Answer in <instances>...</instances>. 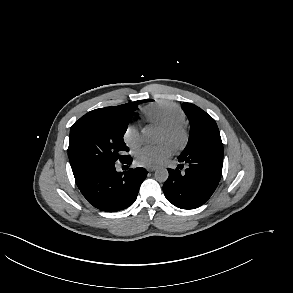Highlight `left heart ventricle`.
<instances>
[{
  "mask_svg": "<svg viewBox=\"0 0 293 293\" xmlns=\"http://www.w3.org/2000/svg\"><path fill=\"white\" fill-rule=\"evenodd\" d=\"M160 140L161 141H167V142H170V139H169V137L166 135V133L165 132H161V137H160ZM171 143V142H170Z\"/></svg>",
  "mask_w": 293,
  "mask_h": 293,
  "instance_id": "obj_1",
  "label": "left heart ventricle"
}]
</instances>
